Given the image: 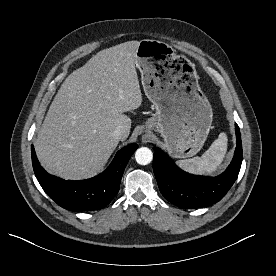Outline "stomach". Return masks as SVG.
I'll return each mask as SVG.
<instances>
[{"label": "stomach", "mask_w": 276, "mask_h": 276, "mask_svg": "<svg viewBox=\"0 0 276 276\" xmlns=\"http://www.w3.org/2000/svg\"><path fill=\"white\" fill-rule=\"evenodd\" d=\"M135 64L145 95L156 108L148 129L161 134L172 157L196 155L207 139L213 113L195 64L167 43L150 39L139 42Z\"/></svg>", "instance_id": "1"}]
</instances>
